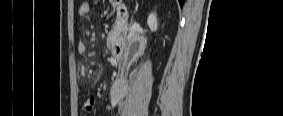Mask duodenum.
<instances>
[{
    "label": "duodenum",
    "instance_id": "410a0bca",
    "mask_svg": "<svg viewBox=\"0 0 283 116\" xmlns=\"http://www.w3.org/2000/svg\"><path fill=\"white\" fill-rule=\"evenodd\" d=\"M115 9H116V16L118 23L120 25H124L128 20V16H129L128 9L124 5H117ZM125 51H126V42L123 37H120L112 47V55L114 58L122 62H126Z\"/></svg>",
    "mask_w": 283,
    "mask_h": 116
}]
</instances>
